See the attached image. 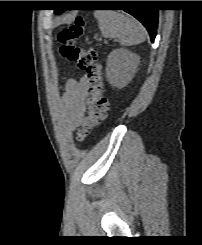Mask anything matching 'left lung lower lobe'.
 Here are the masks:
<instances>
[{
  "instance_id": "1",
  "label": "left lung lower lobe",
  "mask_w": 202,
  "mask_h": 245,
  "mask_svg": "<svg viewBox=\"0 0 202 245\" xmlns=\"http://www.w3.org/2000/svg\"><path fill=\"white\" fill-rule=\"evenodd\" d=\"M130 4L133 6H138L136 8H131L128 10H124L127 13L134 16L138 19L148 30L150 34L151 41L154 42V38L156 36L157 24H158V10L157 9H145L139 8V6L143 5V1H130ZM64 10H55L56 14L62 13Z\"/></svg>"
}]
</instances>
